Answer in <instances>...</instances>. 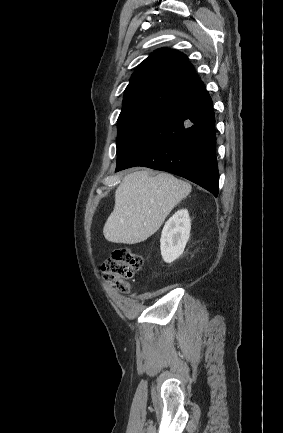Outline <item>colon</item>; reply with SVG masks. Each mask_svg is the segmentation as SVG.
Listing matches in <instances>:
<instances>
[{
	"mask_svg": "<svg viewBox=\"0 0 283 433\" xmlns=\"http://www.w3.org/2000/svg\"><path fill=\"white\" fill-rule=\"evenodd\" d=\"M143 258L127 248L113 251L111 257L102 265L103 278L117 291L129 290L128 280L142 268Z\"/></svg>",
	"mask_w": 283,
	"mask_h": 433,
	"instance_id": "obj_1",
	"label": "colon"
}]
</instances>
